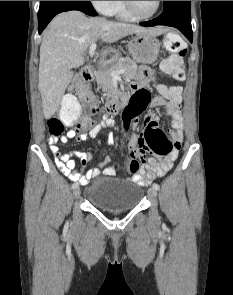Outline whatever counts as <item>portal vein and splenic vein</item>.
<instances>
[{
	"label": "portal vein and splenic vein",
	"instance_id": "portal-vein-and-splenic-vein-1",
	"mask_svg": "<svg viewBox=\"0 0 233 295\" xmlns=\"http://www.w3.org/2000/svg\"><path fill=\"white\" fill-rule=\"evenodd\" d=\"M96 47H97L96 43L91 44V46H90V48H89V54H90L91 57L94 56L95 51H96ZM124 71H125V69H120V70H118V71H114V72L112 73V75H113L114 77H117L119 74L124 73Z\"/></svg>",
	"mask_w": 233,
	"mask_h": 295
}]
</instances>
